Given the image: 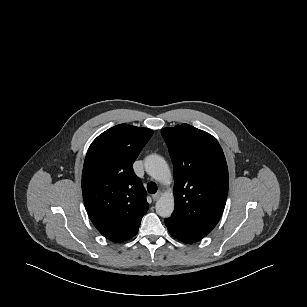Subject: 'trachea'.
<instances>
[{
    "label": "trachea",
    "instance_id": "trachea-1",
    "mask_svg": "<svg viewBox=\"0 0 307 307\" xmlns=\"http://www.w3.org/2000/svg\"><path fill=\"white\" fill-rule=\"evenodd\" d=\"M147 190H148V192H149L150 194H155V193L157 192V190H158V187H157L156 183H154V182H149V183L147 184Z\"/></svg>",
    "mask_w": 307,
    "mask_h": 307
}]
</instances>
